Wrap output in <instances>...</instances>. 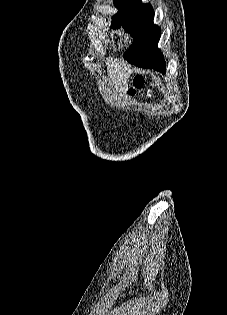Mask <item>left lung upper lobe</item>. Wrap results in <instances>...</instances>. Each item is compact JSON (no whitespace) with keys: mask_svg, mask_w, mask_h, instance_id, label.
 Masks as SVG:
<instances>
[{"mask_svg":"<svg viewBox=\"0 0 227 315\" xmlns=\"http://www.w3.org/2000/svg\"><path fill=\"white\" fill-rule=\"evenodd\" d=\"M113 2L119 11L112 17L111 26L113 28L123 27L126 32L130 33L134 39L132 46L145 38L159 41L161 30L153 24L154 10L150 4H142L141 0H113ZM130 49L124 54L126 60Z\"/></svg>","mask_w":227,"mask_h":315,"instance_id":"1","label":"left lung upper lobe"}]
</instances>
